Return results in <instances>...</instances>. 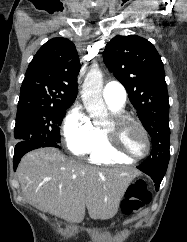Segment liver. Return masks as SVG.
Here are the masks:
<instances>
[{
  "label": "liver",
  "mask_w": 187,
  "mask_h": 242,
  "mask_svg": "<svg viewBox=\"0 0 187 242\" xmlns=\"http://www.w3.org/2000/svg\"><path fill=\"white\" fill-rule=\"evenodd\" d=\"M139 172L132 168H97L67 158L54 148L26 154L17 169L26 201L74 223L116 215L128 186Z\"/></svg>",
  "instance_id": "liver-1"
}]
</instances>
